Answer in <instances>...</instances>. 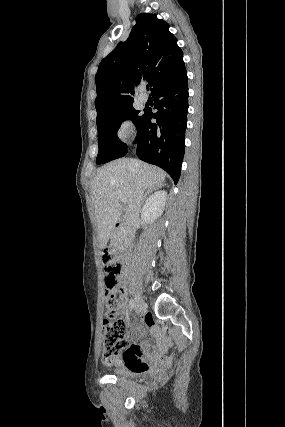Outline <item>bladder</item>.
Instances as JSON below:
<instances>
[{
    "label": "bladder",
    "mask_w": 285,
    "mask_h": 427,
    "mask_svg": "<svg viewBox=\"0 0 285 427\" xmlns=\"http://www.w3.org/2000/svg\"><path fill=\"white\" fill-rule=\"evenodd\" d=\"M144 373V371L142 370H132L126 367H122V368H117L114 370V375L117 377H124V378H128V379H135L140 377V375H142Z\"/></svg>",
    "instance_id": "31cf9c89"
}]
</instances>
